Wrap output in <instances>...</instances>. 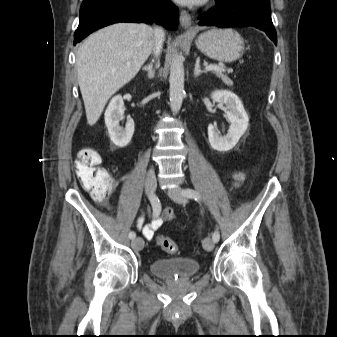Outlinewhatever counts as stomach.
I'll list each match as a JSON object with an SVG mask.
<instances>
[{"instance_id": "obj_1", "label": "stomach", "mask_w": 337, "mask_h": 337, "mask_svg": "<svg viewBox=\"0 0 337 337\" xmlns=\"http://www.w3.org/2000/svg\"><path fill=\"white\" fill-rule=\"evenodd\" d=\"M197 48L206 56L223 62H233L244 52L242 37L232 29H211L196 40Z\"/></svg>"}]
</instances>
